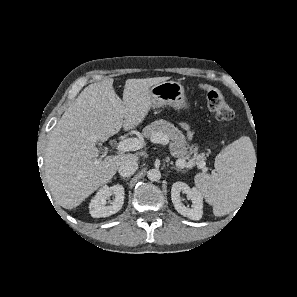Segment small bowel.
Masks as SVG:
<instances>
[{"label": "small bowel", "mask_w": 297, "mask_h": 297, "mask_svg": "<svg viewBox=\"0 0 297 297\" xmlns=\"http://www.w3.org/2000/svg\"><path fill=\"white\" fill-rule=\"evenodd\" d=\"M182 127L187 131V135H188V137H191L192 134H193V132H192L190 126H189L188 124L183 123V124H182Z\"/></svg>", "instance_id": "obj_1"}]
</instances>
